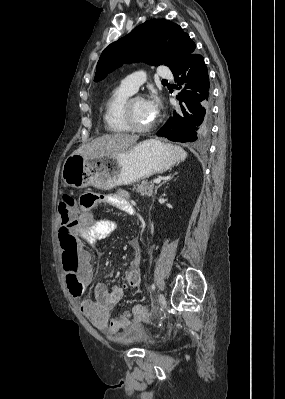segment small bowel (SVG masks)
<instances>
[{"instance_id":"small-bowel-1","label":"small bowel","mask_w":285,"mask_h":399,"mask_svg":"<svg viewBox=\"0 0 285 399\" xmlns=\"http://www.w3.org/2000/svg\"><path fill=\"white\" fill-rule=\"evenodd\" d=\"M98 204H111L124 209L131 216H138V211L134 205L131 196L120 191L116 195L98 194ZM93 207L81 206L82 212L88 213ZM77 209H71L67 212L66 225L60 228L58 233L59 246L61 255L67 250L74 248L79 255V269L81 279L82 294L73 296L79 301L80 311L87 317L92 324L99 330H105L113 334H122L126 327L112 326L109 311L124 296L128 288H136L141 284V262L143 259L142 250L138 240L132 239L134 255L129 271L124 275L122 280L112 289L103 283H97L94 286L95 299L90 300L84 297L89 290L92 281L93 267L91 262V254L80 245L81 239H86L91 243H98L111 235L118 229V223L107 219H96L90 223H86L80 217ZM58 219L62 222V213L59 209Z\"/></svg>"}]
</instances>
